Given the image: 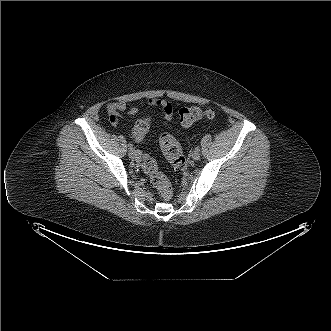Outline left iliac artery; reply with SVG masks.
Returning a JSON list of instances; mask_svg holds the SVG:
<instances>
[{"mask_svg": "<svg viewBox=\"0 0 331 331\" xmlns=\"http://www.w3.org/2000/svg\"><path fill=\"white\" fill-rule=\"evenodd\" d=\"M195 151H198L199 152L200 151V147H196L195 148Z\"/></svg>", "mask_w": 331, "mask_h": 331, "instance_id": "obj_1", "label": "left iliac artery"}]
</instances>
